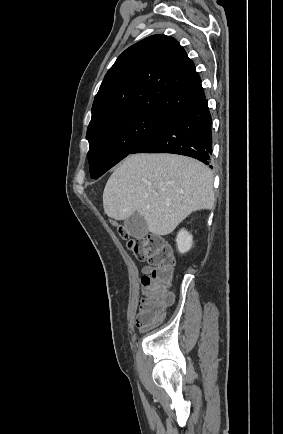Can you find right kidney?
<instances>
[{
	"label": "right kidney",
	"instance_id": "ca27d5eb",
	"mask_svg": "<svg viewBox=\"0 0 283 434\" xmlns=\"http://www.w3.org/2000/svg\"><path fill=\"white\" fill-rule=\"evenodd\" d=\"M177 248L180 253H186L190 250L193 242L192 235L186 230L182 229L179 231L177 238Z\"/></svg>",
	"mask_w": 283,
	"mask_h": 434
}]
</instances>
